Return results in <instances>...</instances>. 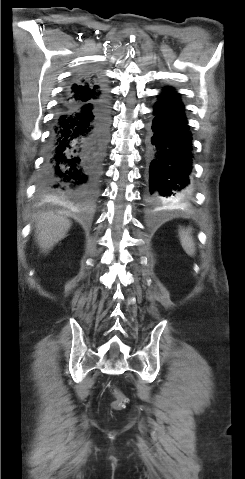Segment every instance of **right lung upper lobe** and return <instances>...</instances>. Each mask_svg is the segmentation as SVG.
Here are the masks:
<instances>
[{
	"label": "right lung upper lobe",
	"instance_id": "1",
	"mask_svg": "<svg viewBox=\"0 0 245 479\" xmlns=\"http://www.w3.org/2000/svg\"><path fill=\"white\" fill-rule=\"evenodd\" d=\"M106 94L103 83L94 74H88L79 82L71 85L64 96L65 103L84 104L90 101L98 100Z\"/></svg>",
	"mask_w": 245,
	"mask_h": 479
}]
</instances>
